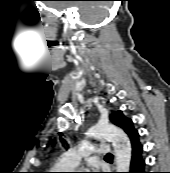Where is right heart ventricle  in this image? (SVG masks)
I'll list each match as a JSON object with an SVG mask.
<instances>
[{
  "mask_svg": "<svg viewBox=\"0 0 170 173\" xmlns=\"http://www.w3.org/2000/svg\"><path fill=\"white\" fill-rule=\"evenodd\" d=\"M66 164H67L66 158H65V156H62L58 159L56 167L58 169H66V168H68V167H66Z\"/></svg>",
  "mask_w": 170,
  "mask_h": 173,
  "instance_id": "obj_1",
  "label": "right heart ventricle"
}]
</instances>
